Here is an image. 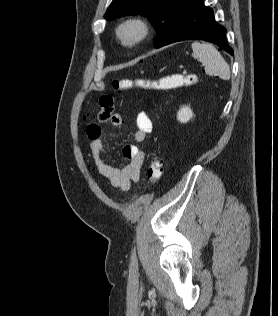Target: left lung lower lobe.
Returning a JSON list of instances; mask_svg holds the SVG:
<instances>
[{
	"label": "left lung lower lobe",
	"instance_id": "left-lung-lower-lobe-1",
	"mask_svg": "<svg viewBox=\"0 0 278 316\" xmlns=\"http://www.w3.org/2000/svg\"><path fill=\"white\" fill-rule=\"evenodd\" d=\"M225 35L226 29L215 22L212 9L205 7L202 0H190L174 32L163 46L184 40H205L233 55Z\"/></svg>",
	"mask_w": 278,
	"mask_h": 316
}]
</instances>
